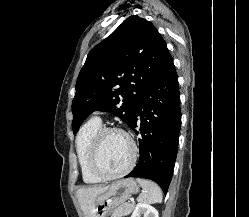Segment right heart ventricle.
Returning <instances> with one entry per match:
<instances>
[{
    "instance_id": "e07e8e85",
    "label": "right heart ventricle",
    "mask_w": 249,
    "mask_h": 217,
    "mask_svg": "<svg viewBox=\"0 0 249 217\" xmlns=\"http://www.w3.org/2000/svg\"><path fill=\"white\" fill-rule=\"evenodd\" d=\"M101 127L102 125L100 120L91 118L80 128L76 138V153L82 179L88 184H97L103 181L94 175L89 167V151L91 142Z\"/></svg>"
}]
</instances>
